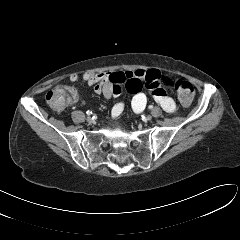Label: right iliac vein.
I'll return each instance as SVG.
<instances>
[{
	"label": "right iliac vein",
	"instance_id": "right-iliac-vein-1",
	"mask_svg": "<svg viewBox=\"0 0 240 240\" xmlns=\"http://www.w3.org/2000/svg\"><path fill=\"white\" fill-rule=\"evenodd\" d=\"M87 122H88V123H92V122H93V119H92L91 116H88V117H87Z\"/></svg>",
	"mask_w": 240,
	"mask_h": 240
}]
</instances>
